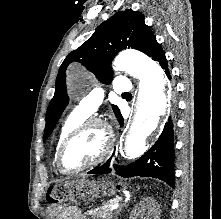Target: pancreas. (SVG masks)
I'll use <instances>...</instances> for the list:
<instances>
[{
    "instance_id": "pancreas-1",
    "label": "pancreas",
    "mask_w": 221,
    "mask_h": 219,
    "mask_svg": "<svg viewBox=\"0 0 221 219\" xmlns=\"http://www.w3.org/2000/svg\"><path fill=\"white\" fill-rule=\"evenodd\" d=\"M114 204L115 200H110L99 208L88 210L86 214L91 215L94 219H112L115 213L111 210V207Z\"/></svg>"
}]
</instances>
